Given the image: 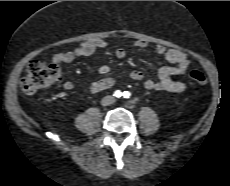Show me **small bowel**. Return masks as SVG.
<instances>
[{"mask_svg": "<svg viewBox=\"0 0 230 186\" xmlns=\"http://www.w3.org/2000/svg\"><path fill=\"white\" fill-rule=\"evenodd\" d=\"M107 43L101 39H92L80 44L72 51L59 52L52 57V61L59 64H67L73 60L85 57H92L98 49L106 47ZM136 48H145L147 43L143 40H138L134 43ZM157 54L170 63V65L162 66L158 69L155 79H148L144 82V88L149 91H163L171 93H179L186 89V84L181 81L172 80L174 75L186 74L189 66L190 59L187 53L180 51L176 48H167L164 45L156 46ZM118 59L126 57V51L123 48H118L115 52ZM110 67L102 63L98 67V73L102 76L101 79L93 81L89 84V91L91 93H98L103 90L112 88L115 85V79L108 76ZM130 78L135 81L143 80L144 74L141 71L134 70L130 73ZM63 89L71 91L74 89V84L71 81L63 83Z\"/></svg>", "mask_w": 230, "mask_h": 186, "instance_id": "1", "label": "small bowel"}]
</instances>
